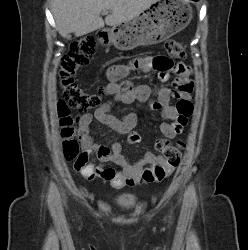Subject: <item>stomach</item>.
Returning <instances> with one entry per match:
<instances>
[{"label":"stomach","instance_id":"stomach-1","mask_svg":"<svg viewBox=\"0 0 248 250\" xmlns=\"http://www.w3.org/2000/svg\"><path fill=\"white\" fill-rule=\"evenodd\" d=\"M192 19L187 0H158L133 20L106 30L103 41L122 51L154 45L184 29Z\"/></svg>","mask_w":248,"mask_h":250}]
</instances>
